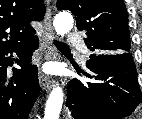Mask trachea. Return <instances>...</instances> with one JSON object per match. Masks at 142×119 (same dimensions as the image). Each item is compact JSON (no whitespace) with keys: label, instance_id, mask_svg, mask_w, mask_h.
<instances>
[{"label":"trachea","instance_id":"1","mask_svg":"<svg viewBox=\"0 0 142 119\" xmlns=\"http://www.w3.org/2000/svg\"><path fill=\"white\" fill-rule=\"evenodd\" d=\"M54 43L58 48H67V49H69V46L67 44L63 43V42H59V41L54 40Z\"/></svg>","mask_w":142,"mask_h":119}]
</instances>
